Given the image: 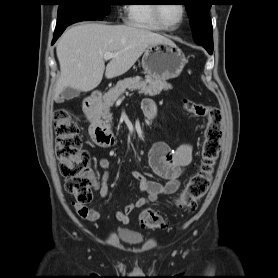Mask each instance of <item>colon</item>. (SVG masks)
<instances>
[{"instance_id": "5ec220e1", "label": "colon", "mask_w": 278, "mask_h": 278, "mask_svg": "<svg viewBox=\"0 0 278 278\" xmlns=\"http://www.w3.org/2000/svg\"><path fill=\"white\" fill-rule=\"evenodd\" d=\"M184 106L193 116L206 119L199 169L177 199L180 208L194 210L211 184L220 153L222 113L217 107L191 100H185ZM54 132L56 157L60 173L65 179V189L74 196L75 203L85 205L92 199L96 175L91 166L90 154L82 148L77 117L69 109H58L54 115ZM139 221L142 227L148 229L165 228L167 225L159 213L150 209L140 214Z\"/></svg>"}]
</instances>
